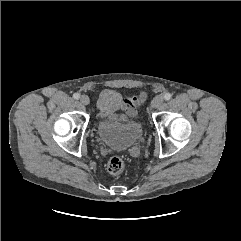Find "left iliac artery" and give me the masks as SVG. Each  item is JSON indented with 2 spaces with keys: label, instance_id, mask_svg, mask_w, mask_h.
I'll list each match as a JSON object with an SVG mask.
<instances>
[{
  "label": "left iliac artery",
  "instance_id": "44dca946",
  "mask_svg": "<svg viewBox=\"0 0 241 241\" xmlns=\"http://www.w3.org/2000/svg\"><path fill=\"white\" fill-rule=\"evenodd\" d=\"M171 98H172V95L169 92L164 94V99L166 101L170 100Z\"/></svg>",
  "mask_w": 241,
  "mask_h": 241
}]
</instances>
